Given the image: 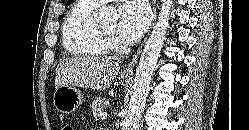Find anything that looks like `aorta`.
Instances as JSON below:
<instances>
[{"instance_id": "1", "label": "aorta", "mask_w": 249, "mask_h": 130, "mask_svg": "<svg viewBox=\"0 0 249 130\" xmlns=\"http://www.w3.org/2000/svg\"><path fill=\"white\" fill-rule=\"evenodd\" d=\"M172 3V0H162L158 21L142 51L136 69L133 92L127 107V115L122 124L123 130H137L138 128L149 94L153 72L169 26ZM97 16L102 20L108 19L115 16V11L110 7H102Z\"/></svg>"}]
</instances>
